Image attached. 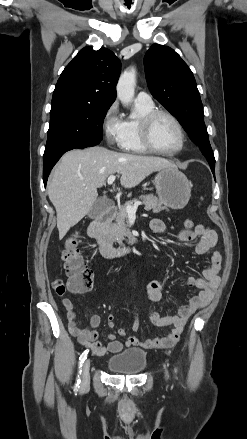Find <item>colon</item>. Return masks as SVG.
Wrapping results in <instances>:
<instances>
[{"label": "colon", "instance_id": "5ec220e1", "mask_svg": "<svg viewBox=\"0 0 247 439\" xmlns=\"http://www.w3.org/2000/svg\"><path fill=\"white\" fill-rule=\"evenodd\" d=\"M184 226L188 229L194 226L193 221L186 220ZM80 239L78 235L70 236L62 250V260L67 276L69 277L70 289L73 292L85 293L92 289L93 273L85 265L79 251Z\"/></svg>", "mask_w": 247, "mask_h": 439}]
</instances>
